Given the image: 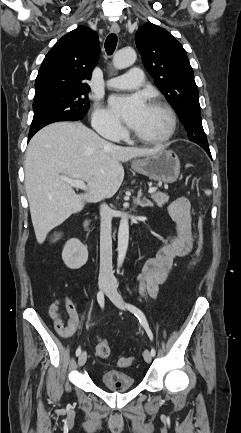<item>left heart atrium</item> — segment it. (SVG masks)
<instances>
[{
	"mask_svg": "<svg viewBox=\"0 0 241 433\" xmlns=\"http://www.w3.org/2000/svg\"><path fill=\"white\" fill-rule=\"evenodd\" d=\"M109 106L133 130L139 126L149 107L142 94L112 96Z\"/></svg>",
	"mask_w": 241,
	"mask_h": 433,
	"instance_id": "39dd6f15",
	"label": "left heart atrium"
}]
</instances>
